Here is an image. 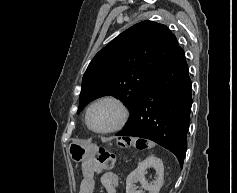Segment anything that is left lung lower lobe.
I'll use <instances>...</instances> for the list:
<instances>
[{"mask_svg":"<svg viewBox=\"0 0 237 193\" xmlns=\"http://www.w3.org/2000/svg\"><path fill=\"white\" fill-rule=\"evenodd\" d=\"M191 105V80L179 47L148 87L133 119L116 135L152 140L174 153L182 167Z\"/></svg>","mask_w":237,"mask_h":193,"instance_id":"1","label":"left lung lower lobe"}]
</instances>
